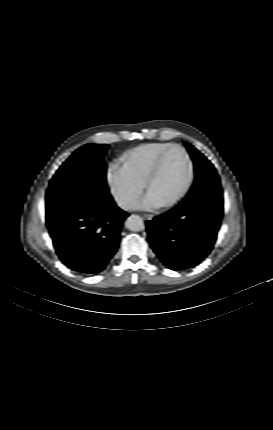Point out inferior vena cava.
<instances>
[{
	"mask_svg": "<svg viewBox=\"0 0 273 430\" xmlns=\"http://www.w3.org/2000/svg\"><path fill=\"white\" fill-rule=\"evenodd\" d=\"M119 205H120L121 207H124V204H123V203H119Z\"/></svg>",
	"mask_w": 273,
	"mask_h": 430,
	"instance_id": "obj_1",
	"label": "inferior vena cava"
}]
</instances>
